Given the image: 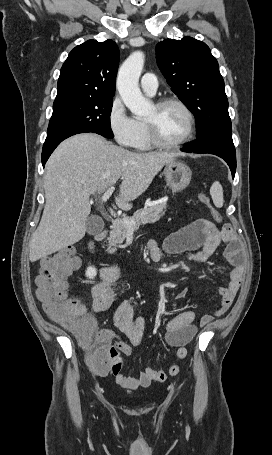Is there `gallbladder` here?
<instances>
[{
    "instance_id": "obj_1",
    "label": "gallbladder",
    "mask_w": 272,
    "mask_h": 455,
    "mask_svg": "<svg viewBox=\"0 0 272 455\" xmlns=\"http://www.w3.org/2000/svg\"><path fill=\"white\" fill-rule=\"evenodd\" d=\"M87 232L90 235H95L100 233L104 228V222L99 216H91L87 220Z\"/></svg>"
}]
</instances>
